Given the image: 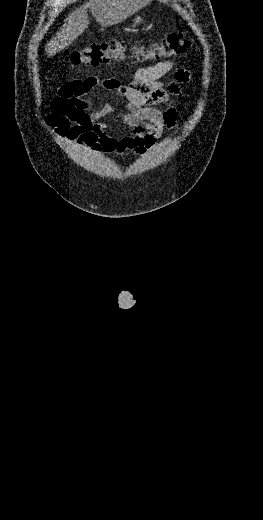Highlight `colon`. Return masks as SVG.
Returning a JSON list of instances; mask_svg holds the SVG:
<instances>
[{"mask_svg":"<svg viewBox=\"0 0 263 520\" xmlns=\"http://www.w3.org/2000/svg\"><path fill=\"white\" fill-rule=\"evenodd\" d=\"M191 46L182 32H173L149 46L135 44L131 57L136 61L168 59L181 56ZM128 45L122 40L95 43L74 51L70 60L74 65L98 66L126 57Z\"/></svg>","mask_w":263,"mask_h":520,"instance_id":"5ec220e1","label":"colon"}]
</instances>
